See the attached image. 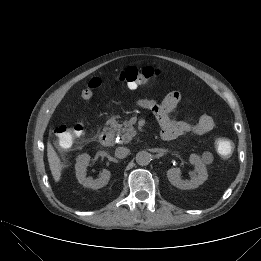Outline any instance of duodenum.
<instances>
[{"label":"duodenum","instance_id":"obj_1","mask_svg":"<svg viewBox=\"0 0 261 261\" xmlns=\"http://www.w3.org/2000/svg\"><path fill=\"white\" fill-rule=\"evenodd\" d=\"M99 141L105 147L112 146L115 141L114 135L111 131H104L100 134Z\"/></svg>","mask_w":261,"mask_h":261}]
</instances>
